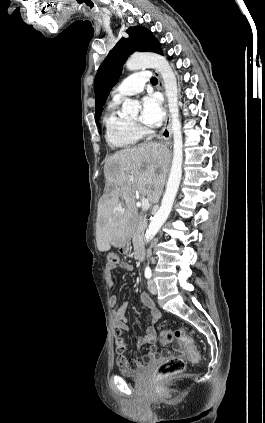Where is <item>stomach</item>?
Segmentation results:
<instances>
[{
  "label": "stomach",
  "instance_id": "obj_1",
  "mask_svg": "<svg viewBox=\"0 0 265 423\" xmlns=\"http://www.w3.org/2000/svg\"><path fill=\"white\" fill-rule=\"evenodd\" d=\"M125 245H126V240L120 242L119 247H125Z\"/></svg>",
  "mask_w": 265,
  "mask_h": 423
}]
</instances>
